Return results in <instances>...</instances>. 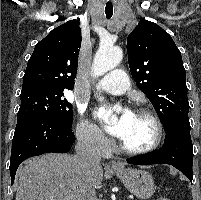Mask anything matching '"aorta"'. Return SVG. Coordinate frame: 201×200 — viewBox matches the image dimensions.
Masks as SVG:
<instances>
[{
	"label": "aorta",
	"instance_id": "1",
	"mask_svg": "<svg viewBox=\"0 0 201 200\" xmlns=\"http://www.w3.org/2000/svg\"><path fill=\"white\" fill-rule=\"evenodd\" d=\"M123 52L119 47L111 44H101L95 54L92 64V75L99 77L115 68L122 60ZM100 100H102L100 98Z\"/></svg>",
	"mask_w": 201,
	"mask_h": 200
}]
</instances>
